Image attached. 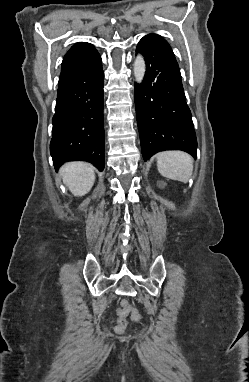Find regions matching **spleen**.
Instances as JSON below:
<instances>
[{"mask_svg":"<svg viewBox=\"0 0 249 382\" xmlns=\"http://www.w3.org/2000/svg\"><path fill=\"white\" fill-rule=\"evenodd\" d=\"M159 173L172 180L187 183L193 171V159L182 151H164L156 156Z\"/></svg>","mask_w":249,"mask_h":382,"instance_id":"spleen-1","label":"spleen"}]
</instances>
